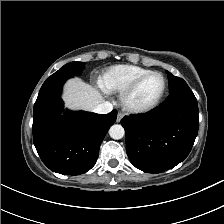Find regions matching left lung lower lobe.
Returning <instances> with one entry per match:
<instances>
[{
    "label": "left lung lower lobe",
    "mask_w": 224,
    "mask_h": 224,
    "mask_svg": "<svg viewBox=\"0 0 224 224\" xmlns=\"http://www.w3.org/2000/svg\"><path fill=\"white\" fill-rule=\"evenodd\" d=\"M126 149L131 163L148 173H160L182 162L198 133V104L188 86L171 92L152 112L124 117Z\"/></svg>",
    "instance_id": "left-lung-lower-lobe-1"
}]
</instances>
